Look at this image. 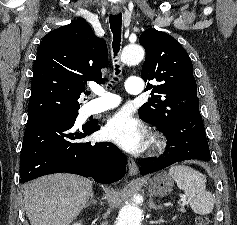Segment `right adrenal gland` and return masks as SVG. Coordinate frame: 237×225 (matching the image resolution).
Wrapping results in <instances>:
<instances>
[{"label": "right adrenal gland", "mask_w": 237, "mask_h": 225, "mask_svg": "<svg viewBox=\"0 0 237 225\" xmlns=\"http://www.w3.org/2000/svg\"><path fill=\"white\" fill-rule=\"evenodd\" d=\"M91 204L97 205V201L94 199V193L93 192L91 193L90 201L84 206V208H87Z\"/></svg>", "instance_id": "1"}]
</instances>
